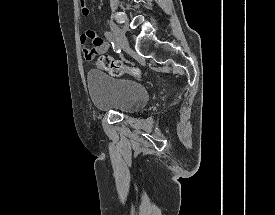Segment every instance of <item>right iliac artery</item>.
Masks as SVG:
<instances>
[{"label":"right iliac artery","mask_w":275,"mask_h":215,"mask_svg":"<svg viewBox=\"0 0 275 215\" xmlns=\"http://www.w3.org/2000/svg\"><path fill=\"white\" fill-rule=\"evenodd\" d=\"M105 37L112 43L114 51H116L117 53L120 52V46L118 45L113 34L111 32H105Z\"/></svg>","instance_id":"obj_1"}]
</instances>
